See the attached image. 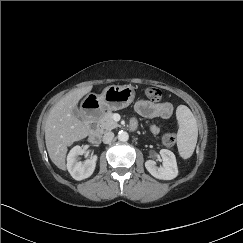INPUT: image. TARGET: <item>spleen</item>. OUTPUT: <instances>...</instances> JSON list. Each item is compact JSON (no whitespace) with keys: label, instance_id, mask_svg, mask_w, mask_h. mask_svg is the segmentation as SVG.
Here are the masks:
<instances>
[{"label":"spleen","instance_id":"obj_1","mask_svg":"<svg viewBox=\"0 0 243 243\" xmlns=\"http://www.w3.org/2000/svg\"><path fill=\"white\" fill-rule=\"evenodd\" d=\"M176 117L179 123L177 148L180 156L188 159L192 156L197 143V122L191 110L185 105L177 107Z\"/></svg>","mask_w":243,"mask_h":243}]
</instances>
